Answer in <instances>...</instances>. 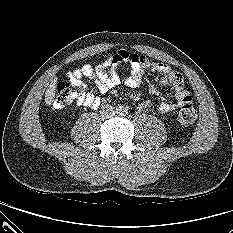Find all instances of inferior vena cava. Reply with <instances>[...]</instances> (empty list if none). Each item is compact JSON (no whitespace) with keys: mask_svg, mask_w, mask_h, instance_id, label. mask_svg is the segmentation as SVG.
I'll use <instances>...</instances> for the list:
<instances>
[{"mask_svg":"<svg viewBox=\"0 0 233 233\" xmlns=\"http://www.w3.org/2000/svg\"><path fill=\"white\" fill-rule=\"evenodd\" d=\"M109 109H110L111 112H110L109 114H107V115L105 114L104 109L102 110V114L104 113V114H105V117H111V116L113 115V112H114V111H113V108L111 107V108H109Z\"/></svg>","mask_w":233,"mask_h":233,"instance_id":"obj_1","label":"inferior vena cava"}]
</instances>
